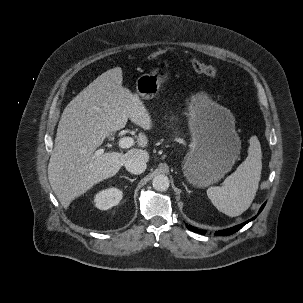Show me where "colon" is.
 I'll list each match as a JSON object with an SVG mask.
<instances>
[{
	"label": "colon",
	"mask_w": 303,
	"mask_h": 303,
	"mask_svg": "<svg viewBox=\"0 0 303 303\" xmlns=\"http://www.w3.org/2000/svg\"><path fill=\"white\" fill-rule=\"evenodd\" d=\"M165 55V50L157 49L150 55V59L155 61ZM191 66L196 73L203 74L209 77H215L217 75V69L210 64L204 63L198 59H194L191 62Z\"/></svg>",
	"instance_id": "obj_1"
}]
</instances>
